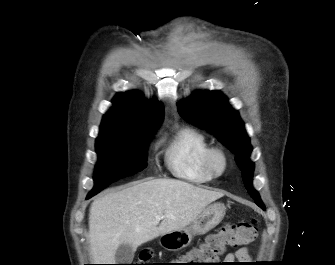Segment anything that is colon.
Masks as SVG:
<instances>
[{"instance_id":"5ec220e1","label":"colon","mask_w":335,"mask_h":265,"mask_svg":"<svg viewBox=\"0 0 335 265\" xmlns=\"http://www.w3.org/2000/svg\"><path fill=\"white\" fill-rule=\"evenodd\" d=\"M257 236V225L255 220L227 224L218 232L207 236L205 241L198 247L187 252L182 260L184 265H214L219 258L230 247H238L252 243ZM153 257V252L144 249L140 252L138 263L131 265H151L147 264Z\"/></svg>"}]
</instances>
